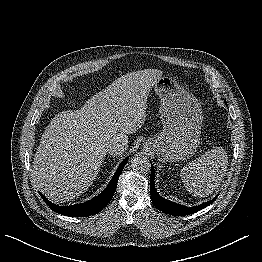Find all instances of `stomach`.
<instances>
[{"label": "stomach", "mask_w": 262, "mask_h": 262, "mask_svg": "<svg viewBox=\"0 0 262 262\" xmlns=\"http://www.w3.org/2000/svg\"><path fill=\"white\" fill-rule=\"evenodd\" d=\"M160 97L163 131L150 137L145 146L162 162H179L192 157L200 144L203 111L199 101L170 77H161L154 85Z\"/></svg>", "instance_id": "stomach-1"}]
</instances>
